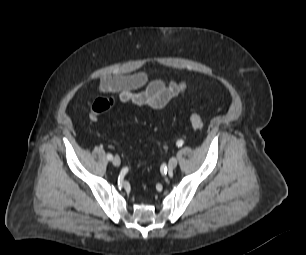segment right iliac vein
<instances>
[{
  "label": "right iliac vein",
  "mask_w": 306,
  "mask_h": 255,
  "mask_svg": "<svg viewBox=\"0 0 306 255\" xmlns=\"http://www.w3.org/2000/svg\"><path fill=\"white\" fill-rule=\"evenodd\" d=\"M112 163H113L114 166H120V164H121L120 157H119V156H115V157L112 159Z\"/></svg>",
  "instance_id": "right-iliac-vein-1"
}]
</instances>
